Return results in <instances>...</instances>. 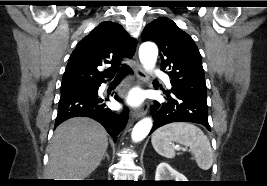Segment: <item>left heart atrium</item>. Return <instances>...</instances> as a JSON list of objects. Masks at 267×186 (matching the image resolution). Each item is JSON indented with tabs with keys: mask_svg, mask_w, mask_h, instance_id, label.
I'll return each instance as SVG.
<instances>
[{
	"mask_svg": "<svg viewBox=\"0 0 267 186\" xmlns=\"http://www.w3.org/2000/svg\"><path fill=\"white\" fill-rule=\"evenodd\" d=\"M141 99H142L141 95L136 91L131 92L128 96V102L131 105H138Z\"/></svg>",
	"mask_w": 267,
	"mask_h": 186,
	"instance_id": "1",
	"label": "left heart atrium"
}]
</instances>
